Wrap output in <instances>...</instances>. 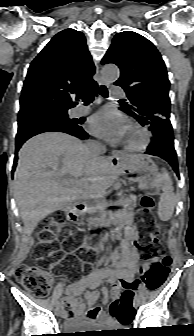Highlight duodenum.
Instances as JSON below:
<instances>
[{
	"mask_svg": "<svg viewBox=\"0 0 194 336\" xmlns=\"http://www.w3.org/2000/svg\"><path fill=\"white\" fill-rule=\"evenodd\" d=\"M88 207L86 204L78 202L73 204L68 212H67V218L71 222L77 221L82 215H84L87 211Z\"/></svg>",
	"mask_w": 194,
	"mask_h": 336,
	"instance_id": "duodenum-1",
	"label": "duodenum"
}]
</instances>
